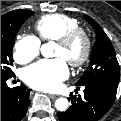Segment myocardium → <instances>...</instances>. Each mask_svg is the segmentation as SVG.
<instances>
[{"mask_svg":"<svg viewBox=\"0 0 121 121\" xmlns=\"http://www.w3.org/2000/svg\"><path fill=\"white\" fill-rule=\"evenodd\" d=\"M77 39L83 41L84 48L82 54L78 58L68 60L72 67H80L89 59L92 50V40L90 35L83 28L77 27L68 31L57 40L59 45L68 48Z\"/></svg>","mask_w":121,"mask_h":121,"instance_id":"obj_1","label":"myocardium"}]
</instances>
